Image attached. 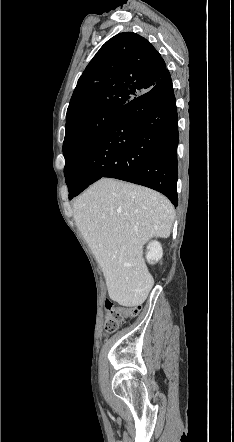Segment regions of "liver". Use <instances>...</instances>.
<instances>
[{
	"mask_svg": "<svg viewBox=\"0 0 234 442\" xmlns=\"http://www.w3.org/2000/svg\"><path fill=\"white\" fill-rule=\"evenodd\" d=\"M73 210L109 297L125 307L141 305L154 284L143 246L153 237L170 235L175 219L171 202L149 188L103 178L74 201Z\"/></svg>",
	"mask_w": 234,
	"mask_h": 442,
	"instance_id": "6515ba94",
	"label": "liver"
}]
</instances>
